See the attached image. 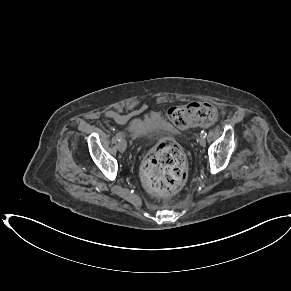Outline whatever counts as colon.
<instances>
[{
	"mask_svg": "<svg viewBox=\"0 0 291 291\" xmlns=\"http://www.w3.org/2000/svg\"><path fill=\"white\" fill-rule=\"evenodd\" d=\"M169 120L179 128L209 125L216 119L215 107L206 102H192L172 106L167 111ZM142 181L153 194L178 190L186 178V158L182 150L170 140H162L143 162Z\"/></svg>",
	"mask_w": 291,
	"mask_h": 291,
	"instance_id": "obj_1",
	"label": "colon"
}]
</instances>
